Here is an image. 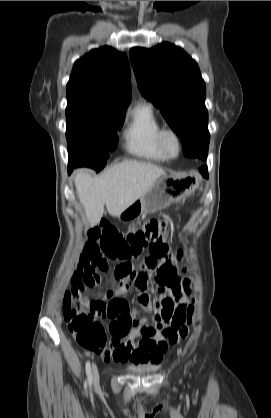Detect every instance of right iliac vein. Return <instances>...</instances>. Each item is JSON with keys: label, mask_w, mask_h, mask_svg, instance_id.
<instances>
[{"label": "right iliac vein", "mask_w": 271, "mask_h": 418, "mask_svg": "<svg viewBox=\"0 0 271 418\" xmlns=\"http://www.w3.org/2000/svg\"><path fill=\"white\" fill-rule=\"evenodd\" d=\"M92 376L94 380V385L97 387L99 385V373L97 367L94 365L92 368Z\"/></svg>", "instance_id": "1"}]
</instances>
